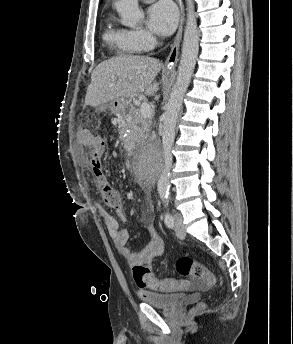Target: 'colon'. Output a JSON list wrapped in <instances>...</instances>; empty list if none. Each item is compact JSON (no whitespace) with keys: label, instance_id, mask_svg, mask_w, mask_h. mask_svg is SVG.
Returning <instances> with one entry per match:
<instances>
[{"label":"colon","instance_id":"5ec220e1","mask_svg":"<svg viewBox=\"0 0 293 344\" xmlns=\"http://www.w3.org/2000/svg\"><path fill=\"white\" fill-rule=\"evenodd\" d=\"M103 151L104 142L100 140L95 144L94 156H96L98 159V157L102 156ZM91 165L93 169H98L100 168L101 163L94 157ZM96 182L101 197L108 206L117 208L121 205L122 199L120 193L111 185L103 172L96 175ZM176 270L180 276L184 278H190L194 282L205 280L208 283H212L214 281V277L208 273L206 267L191 257H180L176 261ZM132 276L139 288H151L159 289L162 291H171L183 289L187 286V283L182 280H160L156 278L150 265H135L132 268Z\"/></svg>","mask_w":293,"mask_h":344}]
</instances>
